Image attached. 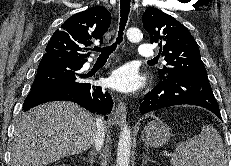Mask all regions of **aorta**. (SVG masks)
<instances>
[{
  "mask_svg": "<svg viewBox=\"0 0 231 166\" xmlns=\"http://www.w3.org/2000/svg\"><path fill=\"white\" fill-rule=\"evenodd\" d=\"M127 38L132 43L140 42L143 35L138 28H129L126 32ZM130 153H131V130L130 127L124 125L117 149L116 166H130Z\"/></svg>",
  "mask_w": 231,
  "mask_h": 166,
  "instance_id": "aorta-1",
  "label": "aorta"
}]
</instances>
